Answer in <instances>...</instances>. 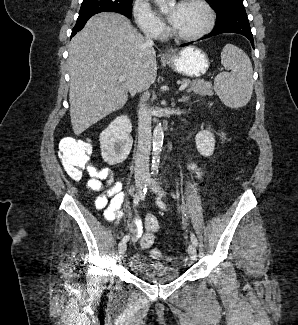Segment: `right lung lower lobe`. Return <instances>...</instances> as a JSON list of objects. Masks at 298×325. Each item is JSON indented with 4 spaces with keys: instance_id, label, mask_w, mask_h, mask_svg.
<instances>
[{
    "instance_id": "98d812e1",
    "label": "right lung lower lobe",
    "mask_w": 298,
    "mask_h": 325,
    "mask_svg": "<svg viewBox=\"0 0 298 325\" xmlns=\"http://www.w3.org/2000/svg\"><path fill=\"white\" fill-rule=\"evenodd\" d=\"M89 18L77 19L76 25H75V27L72 30L71 37H73L78 31H80L84 27L85 23L87 22V20Z\"/></svg>"
}]
</instances>
